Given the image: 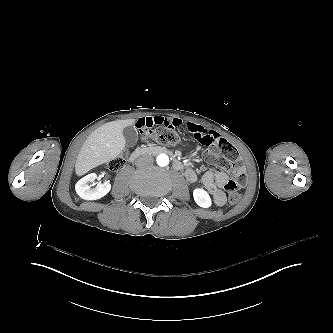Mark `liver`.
Instances as JSON below:
<instances>
[{
  "instance_id": "6515ba94",
  "label": "liver",
  "mask_w": 333,
  "mask_h": 333,
  "mask_svg": "<svg viewBox=\"0 0 333 333\" xmlns=\"http://www.w3.org/2000/svg\"><path fill=\"white\" fill-rule=\"evenodd\" d=\"M136 119L107 122L90 133L75 162V174L83 176L90 170L115 160L126 148L123 129L133 126Z\"/></svg>"
}]
</instances>
